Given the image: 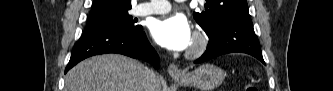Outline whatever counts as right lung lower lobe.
Returning <instances> with one entry per match:
<instances>
[{
  "instance_id": "right-lung-lower-lobe-1",
  "label": "right lung lower lobe",
  "mask_w": 333,
  "mask_h": 91,
  "mask_svg": "<svg viewBox=\"0 0 333 91\" xmlns=\"http://www.w3.org/2000/svg\"><path fill=\"white\" fill-rule=\"evenodd\" d=\"M105 53H119L146 60L155 68L159 66L158 55L143 30L86 27L74 45L65 73L81 60Z\"/></svg>"
}]
</instances>
